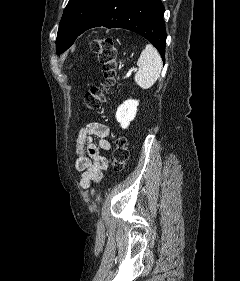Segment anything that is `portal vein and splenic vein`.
<instances>
[{
	"mask_svg": "<svg viewBox=\"0 0 240 281\" xmlns=\"http://www.w3.org/2000/svg\"><path fill=\"white\" fill-rule=\"evenodd\" d=\"M137 69L136 68H133V69H130L127 74H126V78L130 77L132 72L136 71Z\"/></svg>",
	"mask_w": 240,
	"mask_h": 281,
	"instance_id": "portal-vein-and-splenic-vein-1",
	"label": "portal vein and splenic vein"
}]
</instances>
